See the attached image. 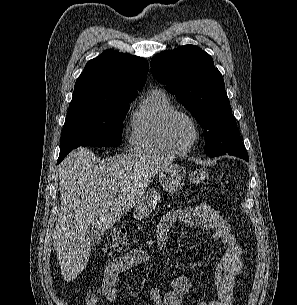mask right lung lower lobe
<instances>
[{"label": "right lung lower lobe", "instance_id": "obj_1", "mask_svg": "<svg viewBox=\"0 0 297 305\" xmlns=\"http://www.w3.org/2000/svg\"><path fill=\"white\" fill-rule=\"evenodd\" d=\"M64 158H65L64 155H59L57 164L60 163Z\"/></svg>", "mask_w": 297, "mask_h": 305}]
</instances>
